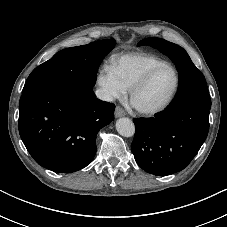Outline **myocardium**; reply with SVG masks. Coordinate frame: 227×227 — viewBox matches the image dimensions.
Listing matches in <instances>:
<instances>
[{
    "label": "myocardium",
    "mask_w": 227,
    "mask_h": 227,
    "mask_svg": "<svg viewBox=\"0 0 227 227\" xmlns=\"http://www.w3.org/2000/svg\"><path fill=\"white\" fill-rule=\"evenodd\" d=\"M165 68H170L175 73V86H174L171 94L169 95V97L166 99V101L164 103H162L160 106L155 107V108H150V109H144V108H140V107L136 106L134 103V98H135L136 94L148 84V82L152 79V77L155 74H157L159 71H161ZM179 87H180V74H179V71L177 70V68L169 63L162 64V65L156 66V67L152 68L151 70H149L137 82H135L132 85V87L129 89V102H130V105L132 106V108L137 113H139L143 116H154V115L162 113L172 104V102L174 101V99L177 95Z\"/></svg>",
    "instance_id": "obj_1"
}]
</instances>
